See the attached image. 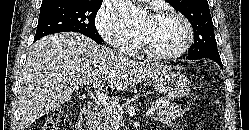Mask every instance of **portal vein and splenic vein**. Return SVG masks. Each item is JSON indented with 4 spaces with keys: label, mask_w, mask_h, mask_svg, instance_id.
<instances>
[{
    "label": "portal vein and splenic vein",
    "mask_w": 249,
    "mask_h": 130,
    "mask_svg": "<svg viewBox=\"0 0 249 130\" xmlns=\"http://www.w3.org/2000/svg\"><path fill=\"white\" fill-rule=\"evenodd\" d=\"M94 87L96 88L95 94L96 98L98 99V102L101 103L109 113L116 115L118 118H121L123 114L122 107L115 101L110 100L107 96L99 92V90L101 89V82H94ZM154 112L155 109L150 108L148 109L146 115L152 116Z\"/></svg>",
    "instance_id": "18ae733b"
}]
</instances>
